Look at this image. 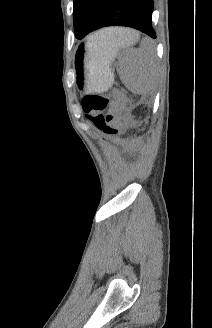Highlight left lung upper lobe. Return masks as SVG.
<instances>
[{"label":"left lung upper lobe","mask_w":212,"mask_h":328,"mask_svg":"<svg viewBox=\"0 0 212 328\" xmlns=\"http://www.w3.org/2000/svg\"><path fill=\"white\" fill-rule=\"evenodd\" d=\"M104 0H74V28L77 39L84 38L94 24Z\"/></svg>","instance_id":"left-lung-upper-lobe-1"}]
</instances>
